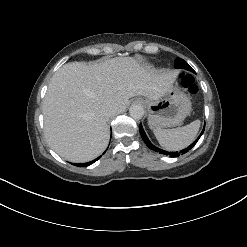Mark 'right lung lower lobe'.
I'll use <instances>...</instances> for the list:
<instances>
[{
  "instance_id": "right-lung-lower-lobe-1",
  "label": "right lung lower lobe",
  "mask_w": 247,
  "mask_h": 247,
  "mask_svg": "<svg viewBox=\"0 0 247 247\" xmlns=\"http://www.w3.org/2000/svg\"><path fill=\"white\" fill-rule=\"evenodd\" d=\"M101 157V156H100ZM100 157L94 159L93 161L91 162H88V163H80V164H73L75 166H78V167H85V166H89L90 164L94 163L95 161H97Z\"/></svg>"
}]
</instances>
